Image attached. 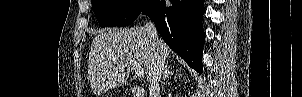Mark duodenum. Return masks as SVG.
<instances>
[{"label": "duodenum", "instance_id": "1", "mask_svg": "<svg viewBox=\"0 0 302 97\" xmlns=\"http://www.w3.org/2000/svg\"><path fill=\"white\" fill-rule=\"evenodd\" d=\"M131 91L134 97H145V91L141 87H132Z\"/></svg>", "mask_w": 302, "mask_h": 97}]
</instances>
